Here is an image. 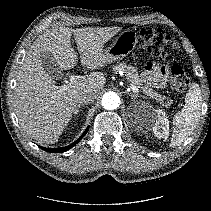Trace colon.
Returning a JSON list of instances; mask_svg holds the SVG:
<instances>
[{"label":"colon","instance_id":"1","mask_svg":"<svg viewBox=\"0 0 211 211\" xmlns=\"http://www.w3.org/2000/svg\"><path fill=\"white\" fill-rule=\"evenodd\" d=\"M140 34L144 48L149 53L170 63L168 76L171 90L176 94L183 93L189 85L190 77L176 64L182 58V51L177 41L160 29H142Z\"/></svg>","mask_w":211,"mask_h":211}]
</instances>
